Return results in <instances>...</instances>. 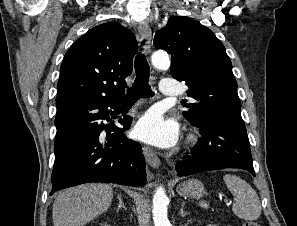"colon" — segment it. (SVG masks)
<instances>
[{"label": "colon", "instance_id": "obj_1", "mask_svg": "<svg viewBox=\"0 0 297 226\" xmlns=\"http://www.w3.org/2000/svg\"><path fill=\"white\" fill-rule=\"evenodd\" d=\"M242 226H260V225L255 221H246L243 223Z\"/></svg>", "mask_w": 297, "mask_h": 226}]
</instances>
